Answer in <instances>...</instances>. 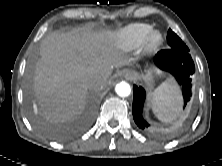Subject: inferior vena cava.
Masks as SVG:
<instances>
[{
    "label": "inferior vena cava",
    "instance_id": "602c4592",
    "mask_svg": "<svg viewBox=\"0 0 222 166\" xmlns=\"http://www.w3.org/2000/svg\"><path fill=\"white\" fill-rule=\"evenodd\" d=\"M92 83H93L96 87H98V88H100V89L103 88V82H102L101 80L95 79V80H92Z\"/></svg>",
    "mask_w": 222,
    "mask_h": 166
}]
</instances>
